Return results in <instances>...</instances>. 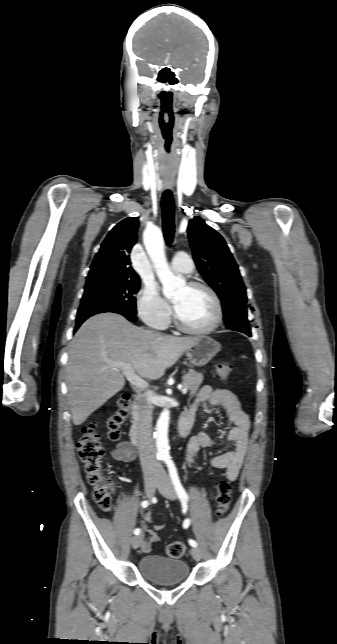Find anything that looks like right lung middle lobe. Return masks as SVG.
I'll return each mask as SVG.
<instances>
[{"mask_svg": "<svg viewBox=\"0 0 337 644\" xmlns=\"http://www.w3.org/2000/svg\"><path fill=\"white\" fill-rule=\"evenodd\" d=\"M140 288L139 280H95L86 282L76 320L107 311H136L134 294Z\"/></svg>", "mask_w": 337, "mask_h": 644, "instance_id": "obj_1", "label": "right lung middle lobe"}]
</instances>
